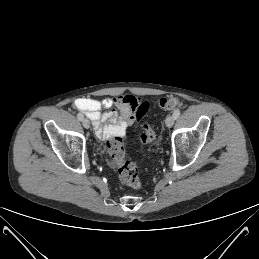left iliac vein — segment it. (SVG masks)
Returning <instances> with one entry per match:
<instances>
[{
    "label": "left iliac vein",
    "instance_id": "obj_1",
    "mask_svg": "<svg viewBox=\"0 0 259 259\" xmlns=\"http://www.w3.org/2000/svg\"><path fill=\"white\" fill-rule=\"evenodd\" d=\"M175 118L173 115H168L165 119V124L168 128L172 127L174 124Z\"/></svg>",
    "mask_w": 259,
    "mask_h": 259
}]
</instances>
